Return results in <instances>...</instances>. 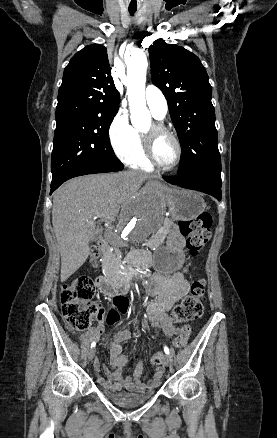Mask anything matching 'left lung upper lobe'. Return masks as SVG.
I'll return each instance as SVG.
<instances>
[{
  "instance_id": "1",
  "label": "left lung upper lobe",
  "mask_w": 277,
  "mask_h": 438,
  "mask_svg": "<svg viewBox=\"0 0 277 438\" xmlns=\"http://www.w3.org/2000/svg\"><path fill=\"white\" fill-rule=\"evenodd\" d=\"M153 83L165 95L182 146L179 176L221 173L212 87L199 58L158 39L149 47Z\"/></svg>"
}]
</instances>
